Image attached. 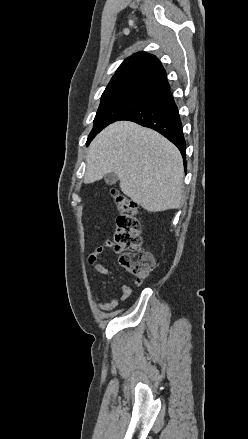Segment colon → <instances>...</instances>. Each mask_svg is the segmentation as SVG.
Returning a JSON list of instances; mask_svg holds the SVG:
<instances>
[{
    "label": "colon",
    "mask_w": 248,
    "mask_h": 439,
    "mask_svg": "<svg viewBox=\"0 0 248 439\" xmlns=\"http://www.w3.org/2000/svg\"><path fill=\"white\" fill-rule=\"evenodd\" d=\"M119 212L116 219L113 245L120 254V264L135 277L140 285L154 269V258L142 248L141 223L138 205L126 195L113 190Z\"/></svg>",
    "instance_id": "obj_1"
}]
</instances>
